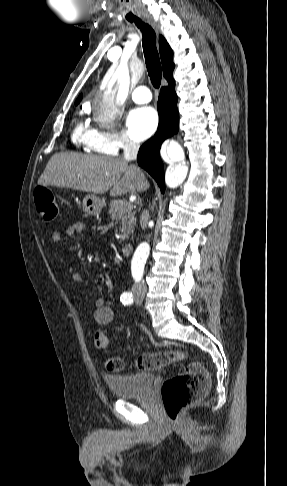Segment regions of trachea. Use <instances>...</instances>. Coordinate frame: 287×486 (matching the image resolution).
Instances as JSON below:
<instances>
[{"label": "trachea", "mask_w": 287, "mask_h": 486, "mask_svg": "<svg viewBox=\"0 0 287 486\" xmlns=\"http://www.w3.org/2000/svg\"><path fill=\"white\" fill-rule=\"evenodd\" d=\"M134 23L143 34V51L151 83L155 88H159L162 79V68L156 47V33L150 25L143 23L139 19L134 20Z\"/></svg>", "instance_id": "3493384b"}]
</instances>
